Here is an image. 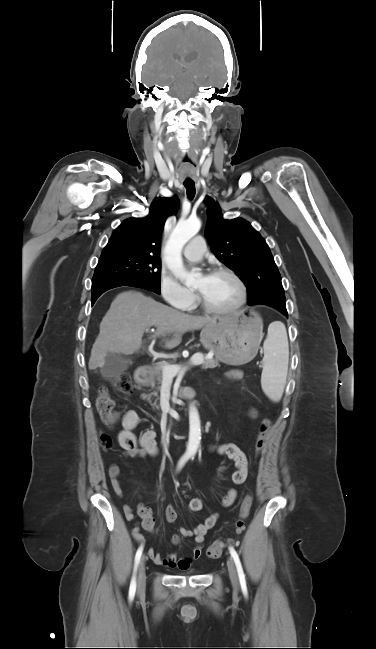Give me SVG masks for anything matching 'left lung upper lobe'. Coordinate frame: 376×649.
Segmentation results:
<instances>
[{
  "label": "left lung upper lobe",
  "mask_w": 376,
  "mask_h": 649,
  "mask_svg": "<svg viewBox=\"0 0 376 649\" xmlns=\"http://www.w3.org/2000/svg\"><path fill=\"white\" fill-rule=\"evenodd\" d=\"M206 237L215 256L236 270L248 287V305L285 306L281 276L268 245L242 218L225 220L219 205L209 196Z\"/></svg>",
  "instance_id": "obj_1"
}]
</instances>
